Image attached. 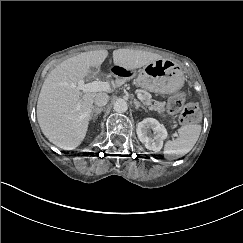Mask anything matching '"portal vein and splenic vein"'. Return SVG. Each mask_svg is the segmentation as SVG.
Here are the masks:
<instances>
[{
  "label": "portal vein and splenic vein",
  "instance_id": "18ae733b",
  "mask_svg": "<svg viewBox=\"0 0 243 243\" xmlns=\"http://www.w3.org/2000/svg\"><path fill=\"white\" fill-rule=\"evenodd\" d=\"M77 88L82 91H103L109 88V84L107 82L93 81L88 84H83V82H79ZM138 99L141 102H144V97L142 94L137 95Z\"/></svg>",
  "mask_w": 243,
  "mask_h": 243
}]
</instances>
